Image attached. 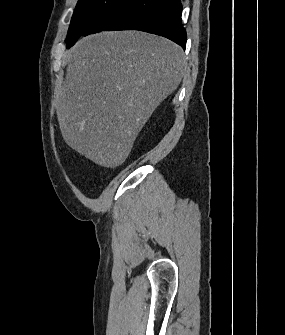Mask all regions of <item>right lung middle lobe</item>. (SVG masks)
Returning a JSON list of instances; mask_svg holds the SVG:
<instances>
[{"mask_svg":"<svg viewBox=\"0 0 285 335\" xmlns=\"http://www.w3.org/2000/svg\"><path fill=\"white\" fill-rule=\"evenodd\" d=\"M119 0H79L74 10L68 36L67 46L74 44L89 26L108 11Z\"/></svg>","mask_w":285,"mask_h":335,"instance_id":"right-lung-middle-lobe-1","label":"right lung middle lobe"}]
</instances>
